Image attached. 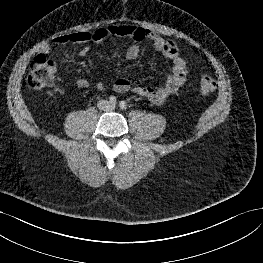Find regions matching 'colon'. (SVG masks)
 <instances>
[{
  "label": "colon",
  "mask_w": 263,
  "mask_h": 263,
  "mask_svg": "<svg viewBox=\"0 0 263 263\" xmlns=\"http://www.w3.org/2000/svg\"><path fill=\"white\" fill-rule=\"evenodd\" d=\"M56 64L43 54L37 55L30 64L27 84L32 90H41L50 85L56 77ZM216 90V81L210 76H204L199 82V91L209 95Z\"/></svg>",
  "instance_id": "1"
}]
</instances>
